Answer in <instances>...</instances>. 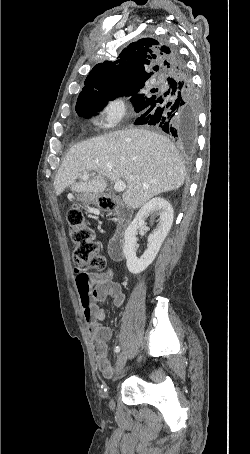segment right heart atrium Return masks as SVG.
Wrapping results in <instances>:
<instances>
[{
    "mask_svg": "<svg viewBox=\"0 0 250 454\" xmlns=\"http://www.w3.org/2000/svg\"><path fill=\"white\" fill-rule=\"evenodd\" d=\"M126 114V105L120 100H112L101 108L97 123L105 130H113L125 118Z\"/></svg>",
    "mask_w": 250,
    "mask_h": 454,
    "instance_id": "right-heart-atrium-1",
    "label": "right heart atrium"
}]
</instances>
